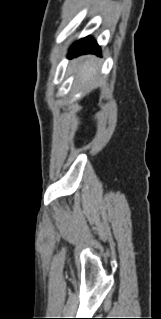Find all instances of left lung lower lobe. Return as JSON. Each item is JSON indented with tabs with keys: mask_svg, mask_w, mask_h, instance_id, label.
Masks as SVG:
<instances>
[{
	"mask_svg": "<svg viewBox=\"0 0 161 319\" xmlns=\"http://www.w3.org/2000/svg\"><path fill=\"white\" fill-rule=\"evenodd\" d=\"M87 53H94V54L100 55L99 45L90 36H87L75 42L73 46L70 48L68 56L69 58H71L74 56L87 54Z\"/></svg>",
	"mask_w": 161,
	"mask_h": 319,
	"instance_id": "obj_1",
	"label": "left lung lower lobe"
}]
</instances>
